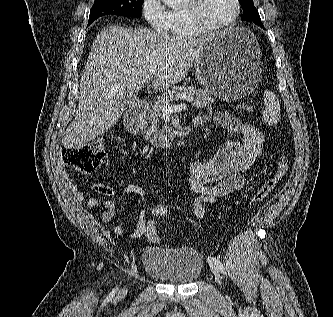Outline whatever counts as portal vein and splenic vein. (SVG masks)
<instances>
[{
  "mask_svg": "<svg viewBox=\"0 0 333 317\" xmlns=\"http://www.w3.org/2000/svg\"><path fill=\"white\" fill-rule=\"evenodd\" d=\"M156 66V65H154ZM186 101L187 102H192L194 101L193 98H186ZM187 108V103H181V104H178V105H174V106H169V105H163L161 107V111H162V114L165 115V116H168L174 112H178V111H181V110H184Z\"/></svg>",
  "mask_w": 333,
  "mask_h": 317,
  "instance_id": "portal-vein-and-splenic-vein-1",
  "label": "portal vein and splenic vein"
}]
</instances>
